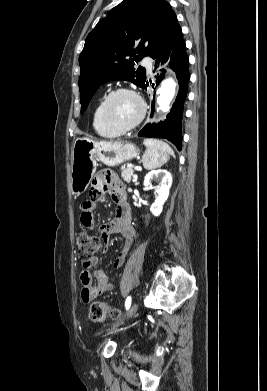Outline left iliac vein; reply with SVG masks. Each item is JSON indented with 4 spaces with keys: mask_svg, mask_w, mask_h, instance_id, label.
Masks as SVG:
<instances>
[{
    "mask_svg": "<svg viewBox=\"0 0 267 391\" xmlns=\"http://www.w3.org/2000/svg\"><path fill=\"white\" fill-rule=\"evenodd\" d=\"M138 306L139 304L137 302H135L131 308H130V311H129V314H128V318H131L137 311L138 309ZM117 327H114L112 330H115Z\"/></svg>",
    "mask_w": 267,
    "mask_h": 391,
    "instance_id": "4c4485c4",
    "label": "left iliac vein"
}]
</instances>
